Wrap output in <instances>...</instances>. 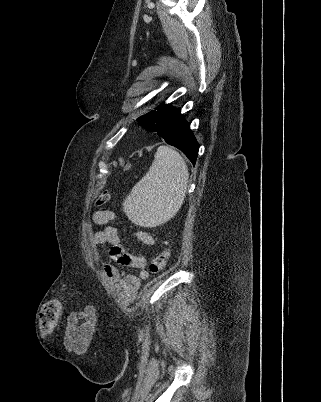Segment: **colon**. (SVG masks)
Here are the masks:
<instances>
[{"mask_svg": "<svg viewBox=\"0 0 321 402\" xmlns=\"http://www.w3.org/2000/svg\"><path fill=\"white\" fill-rule=\"evenodd\" d=\"M109 201V193L103 192L101 193L97 200V206H104ZM169 258V251L166 247H164L151 261L150 263V271L153 274H159L164 270L167 265ZM62 310V305L59 300L53 299L46 303L44 308L41 311L39 317V328L40 331L44 334L51 333L57 325L60 313Z\"/></svg>", "mask_w": 321, "mask_h": 402, "instance_id": "colon-1", "label": "colon"}]
</instances>
